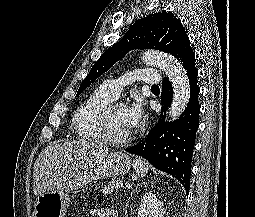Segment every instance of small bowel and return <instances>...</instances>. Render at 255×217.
I'll return each instance as SVG.
<instances>
[{"instance_id": "obj_1", "label": "small bowel", "mask_w": 255, "mask_h": 217, "mask_svg": "<svg viewBox=\"0 0 255 217\" xmlns=\"http://www.w3.org/2000/svg\"><path fill=\"white\" fill-rule=\"evenodd\" d=\"M91 215L93 217H118V214L114 210H109L105 208H100L92 211Z\"/></svg>"}]
</instances>
